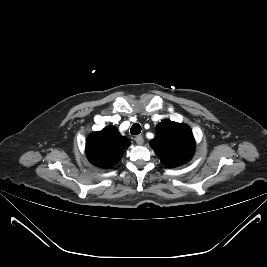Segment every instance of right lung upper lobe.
Returning <instances> with one entry per match:
<instances>
[{
    "label": "right lung upper lobe",
    "instance_id": "obj_1",
    "mask_svg": "<svg viewBox=\"0 0 267 267\" xmlns=\"http://www.w3.org/2000/svg\"><path fill=\"white\" fill-rule=\"evenodd\" d=\"M130 141L114 126L92 133L86 143L89 161L99 167L111 168L120 160Z\"/></svg>",
    "mask_w": 267,
    "mask_h": 267
}]
</instances>
